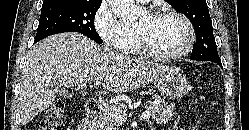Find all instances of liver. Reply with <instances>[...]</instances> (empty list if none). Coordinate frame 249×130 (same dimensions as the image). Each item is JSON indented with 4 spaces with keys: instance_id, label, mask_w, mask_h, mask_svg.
<instances>
[{
    "instance_id": "6515ba94",
    "label": "liver",
    "mask_w": 249,
    "mask_h": 130,
    "mask_svg": "<svg viewBox=\"0 0 249 130\" xmlns=\"http://www.w3.org/2000/svg\"><path fill=\"white\" fill-rule=\"evenodd\" d=\"M170 70L99 46L79 33L50 36L34 45L27 56L18 98L21 123H29L52 105L62 87L81 90L100 79L105 90L125 93Z\"/></svg>"
}]
</instances>
